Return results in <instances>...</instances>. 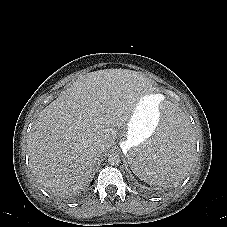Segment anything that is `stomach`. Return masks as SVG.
Instances as JSON below:
<instances>
[{
  "instance_id": "1",
  "label": "stomach",
  "mask_w": 227,
  "mask_h": 227,
  "mask_svg": "<svg viewBox=\"0 0 227 227\" xmlns=\"http://www.w3.org/2000/svg\"><path fill=\"white\" fill-rule=\"evenodd\" d=\"M160 94L143 93L135 105L125 127V140L122 144L125 155L138 147L155 133V125L160 117L163 100Z\"/></svg>"
}]
</instances>
